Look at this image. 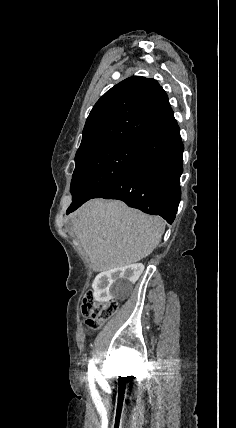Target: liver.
I'll return each mask as SVG.
<instances>
[{
	"label": "liver",
	"instance_id": "6515ba94",
	"mask_svg": "<svg viewBox=\"0 0 236 428\" xmlns=\"http://www.w3.org/2000/svg\"><path fill=\"white\" fill-rule=\"evenodd\" d=\"M71 218L75 236L95 272L150 256L165 230L159 216H147L119 200H89Z\"/></svg>",
	"mask_w": 236,
	"mask_h": 428
}]
</instances>
